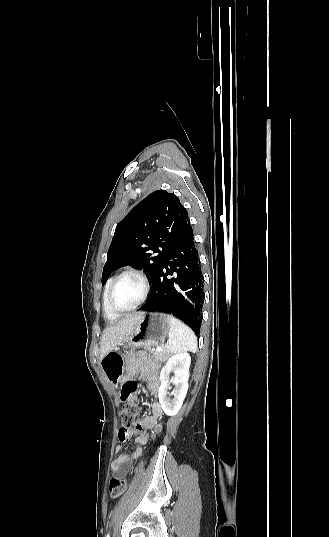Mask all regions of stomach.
<instances>
[{"instance_id": "stomach-1", "label": "stomach", "mask_w": 329, "mask_h": 537, "mask_svg": "<svg viewBox=\"0 0 329 537\" xmlns=\"http://www.w3.org/2000/svg\"><path fill=\"white\" fill-rule=\"evenodd\" d=\"M169 318V315L158 312L143 313L136 328L124 341L125 345L135 347L161 345L166 337L170 336ZM100 366L112 383L119 382L123 376L122 354L117 348L100 360Z\"/></svg>"}]
</instances>
